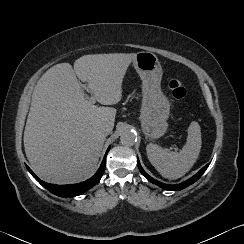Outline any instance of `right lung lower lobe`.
<instances>
[{
	"label": "right lung lower lobe",
	"mask_w": 244,
	"mask_h": 244,
	"mask_svg": "<svg viewBox=\"0 0 244 244\" xmlns=\"http://www.w3.org/2000/svg\"><path fill=\"white\" fill-rule=\"evenodd\" d=\"M110 147L107 149L106 154L103 158V161L100 165V168L98 169V171L95 173L94 176H92L90 179H88L87 181L81 182V183H77V184H71V185H55V184H50V183H46L42 180H40L34 173L33 171L28 167V171L31 173V175L47 190H49L51 193L60 196V197H74L77 195H80L81 193L85 192L86 190L92 188L94 185H96L105 170V166H106V156L107 153L109 151Z\"/></svg>",
	"instance_id": "right-lung-lower-lobe-1"
}]
</instances>
